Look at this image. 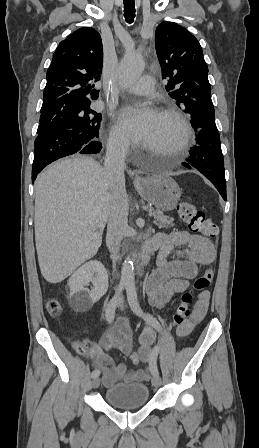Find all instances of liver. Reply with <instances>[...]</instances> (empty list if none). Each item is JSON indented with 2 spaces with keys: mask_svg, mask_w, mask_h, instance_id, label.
Masks as SVG:
<instances>
[{
  "mask_svg": "<svg viewBox=\"0 0 259 448\" xmlns=\"http://www.w3.org/2000/svg\"><path fill=\"white\" fill-rule=\"evenodd\" d=\"M34 190L41 274L50 284H59L97 254L111 212L112 192L104 180V168L88 156L53 162L37 176Z\"/></svg>",
  "mask_w": 259,
  "mask_h": 448,
  "instance_id": "6515ba94",
  "label": "liver"
}]
</instances>
